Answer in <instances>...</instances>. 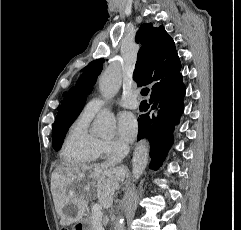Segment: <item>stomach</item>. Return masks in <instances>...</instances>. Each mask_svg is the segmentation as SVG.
Returning a JSON list of instances; mask_svg holds the SVG:
<instances>
[{
  "label": "stomach",
  "mask_w": 241,
  "mask_h": 230,
  "mask_svg": "<svg viewBox=\"0 0 241 230\" xmlns=\"http://www.w3.org/2000/svg\"><path fill=\"white\" fill-rule=\"evenodd\" d=\"M74 230H92L91 224L86 219H81L74 227Z\"/></svg>",
  "instance_id": "1"
}]
</instances>
